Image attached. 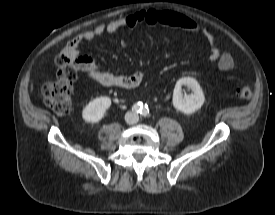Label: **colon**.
Listing matches in <instances>:
<instances>
[{
	"mask_svg": "<svg viewBox=\"0 0 275 215\" xmlns=\"http://www.w3.org/2000/svg\"><path fill=\"white\" fill-rule=\"evenodd\" d=\"M56 78L42 87L44 103L58 115L69 113L72 105V86L77 79L76 72L65 57L57 60ZM236 95L240 99H249L252 90L248 86H239Z\"/></svg>",
	"mask_w": 275,
	"mask_h": 215,
	"instance_id": "1",
	"label": "colon"
}]
</instances>
